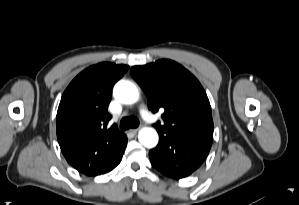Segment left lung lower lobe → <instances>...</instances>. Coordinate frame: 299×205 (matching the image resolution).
I'll return each mask as SVG.
<instances>
[{
    "instance_id": "left-lung-lower-lobe-1",
    "label": "left lung lower lobe",
    "mask_w": 299,
    "mask_h": 205,
    "mask_svg": "<svg viewBox=\"0 0 299 205\" xmlns=\"http://www.w3.org/2000/svg\"><path fill=\"white\" fill-rule=\"evenodd\" d=\"M158 145L150 150L152 165L167 177L181 179L193 173L206 159L213 138L184 133L159 132Z\"/></svg>"
}]
</instances>
